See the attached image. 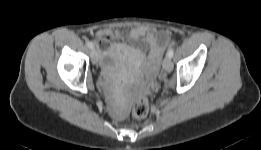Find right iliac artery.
Returning a JSON list of instances; mask_svg holds the SVG:
<instances>
[{"instance_id":"right-iliac-artery-1","label":"right iliac artery","mask_w":261,"mask_h":150,"mask_svg":"<svg viewBox=\"0 0 261 150\" xmlns=\"http://www.w3.org/2000/svg\"><path fill=\"white\" fill-rule=\"evenodd\" d=\"M87 45H88V47L91 48V49L94 47V44H93L92 42H88Z\"/></svg>"}]
</instances>
